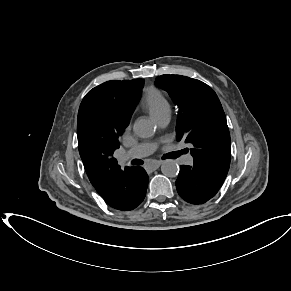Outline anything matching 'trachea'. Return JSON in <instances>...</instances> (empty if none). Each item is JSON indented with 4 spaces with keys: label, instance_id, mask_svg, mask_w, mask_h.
Wrapping results in <instances>:
<instances>
[{
    "label": "trachea",
    "instance_id": "trachea-1",
    "mask_svg": "<svg viewBox=\"0 0 291 291\" xmlns=\"http://www.w3.org/2000/svg\"><path fill=\"white\" fill-rule=\"evenodd\" d=\"M183 153H184L183 151H177V152L175 153V158L178 157V156H180V155L183 154ZM131 163H132L133 165H141L143 162H142L141 160L134 159V160H132Z\"/></svg>",
    "mask_w": 291,
    "mask_h": 291
}]
</instances>
